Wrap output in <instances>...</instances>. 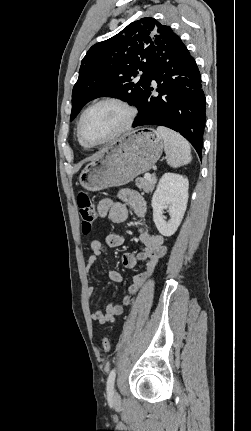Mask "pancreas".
Here are the masks:
<instances>
[{"instance_id": "obj_1", "label": "pancreas", "mask_w": 251, "mask_h": 431, "mask_svg": "<svg viewBox=\"0 0 251 431\" xmlns=\"http://www.w3.org/2000/svg\"><path fill=\"white\" fill-rule=\"evenodd\" d=\"M156 181V178H151L150 180H147L145 178L138 177L136 179V186L146 193H151L154 190Z\"/></svg>"}]
</instances>
